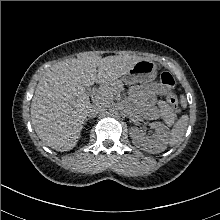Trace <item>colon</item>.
I'll return each mask as SVG.
<instances>
[{"instance_id":"colon-1","label":"colon","mask_w":220,"mask_h":220,"mask_svg":"<svg viewBox=\"0 0 220 220\" xmlns=\"http://www.w3.org/2000/svg\"><path fill=\"white\" fill-rule=\"evenodd\" d=\"M160 81L165 91V95L168 102L172 105V107L176 112H180L181 109H180L179 100L173 91L175 86V79L173 75L167 71H164L160 75Z\"/></svg>"}]
</instances>
